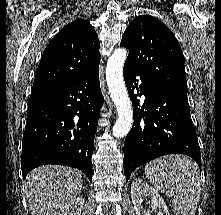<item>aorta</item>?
<instances>
[{
  "mask_svg": "<svg viewBox=\"0 0 221 215\" xmlns=\"http://www.w3.org/2000/svg\"><path fill=\"white\" fill-rule=\"evenodd\" d=\"M127 55L128 51L125 48L115 49L106 66V81L118 114L112 131L116 138L126 136L133 122L132 105L123 78V66Z\"/></svg>",
  "mask_w": 221,
  "mask_h": 215,
  "instance_id": "aorta-1",
  "label": "aorta"
}]
</instances>
